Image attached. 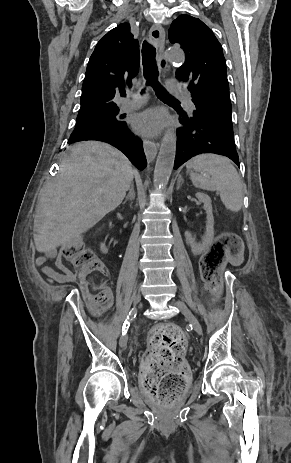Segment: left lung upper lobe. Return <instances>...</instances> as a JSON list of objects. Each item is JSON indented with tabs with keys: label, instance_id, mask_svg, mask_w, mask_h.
<instances>
[{
	"label": "left lung upper lobe",
	"instance_id": "1",
	"mask_svg": "<svg viewBox=\"0 0 291 463\" xmlns=\"http://www.w3.org/2000/svg\"><path fill=\"white\" fill-rule=\"evenodd\" d=\"M169 40L186 54L176 76L188 84L196 106L193 116L233 127L226 61L212 30L197 18L180 15L170 26Z\"/></svg>",
	"mask_w": 291,
	"mask_h": 463
}]
</instances>
